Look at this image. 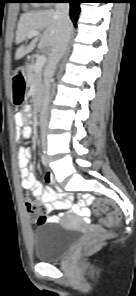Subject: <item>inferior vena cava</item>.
<instances>
[{
  "label": "inferior vena cava",
  "instance_id": "602c4592",
  "mask_svg": "<svg viewBox=\"0 0 136 296\" xmlns=\"http://www.w3.org/2000/svg\"><path fill=\"white\" fill-rule=\"evenodd\" d=\"M69 3H56V15L60 21V29L57 41L52 48L51 57L44 71V98L40 111V128L43 147L47 146L46 131L48 124V106L50 103V84L57 64L62 58L71 34V20L69 18Z\"/></svg>",
  "mask_w": 136,
  "mask_h": 296
}]
</instances>
